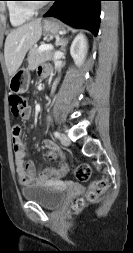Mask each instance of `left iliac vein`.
<instances>
[{
	"label": "left iliac vein",
	"mask_w": 133,
	"mask_h": 253,
	"mask_svg": "<svg viewBox=\"0 0 133 253\" xmlns=\"http://www.w3.org/2000/svg\"><path fill=\"white\" fill-rule=\"evenodd\" d=\"M59 138H60V142L63 145H65V146L70 145V139L66 134L62 133Z\"/></svg>",
	"instance_id": "obj_1"
}]
</instances>
